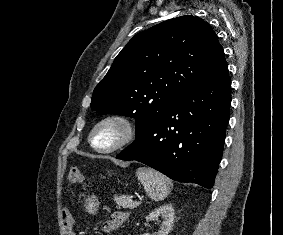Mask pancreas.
Returning a JSON list of instances; mask_svg holds the SVG:
<instances>
[{"instance_id": "1", "label": "pancreas", "mask_w": 283, "mask_h": 235, "mask_svg": "<svg viewBox=\"0 0 283 235\" xmlns=\"http://www.w3.org/2000/svg\"><path fill=\"white\" fill-rule=\"evenodd\" d=\"M114 201L118 206H121L123 208L134 209L138 206L136 202H133L127 196H114Z\"/></svg>"}]
</instances>
